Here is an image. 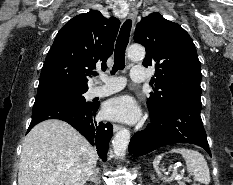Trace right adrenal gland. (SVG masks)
<instances>
[{"label":"right adrenal gland","instance_id":"2a0ac1e0","mask_svg":"<svg viewBox=\"0 0 233 185\" xmlns=\"http://www.w3.org/2000/svg\"><path fill=\"white\" fill-rule=\"evenodd\" d=\"M99 168H95L91 176L87 179L88 181L95 182L97 185L100 183V178L98 177Z\"/></svg>","mask_w":233,"mask_h":185}]
</instances>
